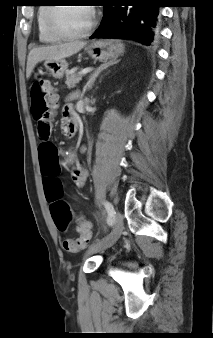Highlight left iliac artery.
<instances>
[{
	"instance_id": "1",
	"label": "left iliac artery",
	"mask_w": 213,
	"mask_h": 338,
	"mask_svg": "<svg viewBox=\"0 0 213 338\" xmlns=\"http://www.w3.org/2000/svg\"><path fill=\"white\" fill-rule=\"evenodd\" d=\"M103 205L108 213V217H107V223L109 225H112L113 224V221H114V217H115V210L113 208V205L108 202V201H104L103 202Z\"/></svg>"
}]
</instances>
